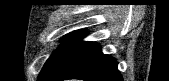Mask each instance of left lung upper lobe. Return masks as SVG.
<instances>
[{
    "label": "left lung upper lobe",
    "mask_w": 169,
    "mask_h": 81,
    "mask_svg": "<svg viewBox=\"0 0 169 81\" xmlns=\"http://www.w3.org/2000/svg\"><path fill=\"white\" fill-rule=\"evenodd\" d=\"M80 31H74L69 33L68 35H66L62 42L63 44L59 47V49H57L52 55L51 57L46 61V63L44 64L40 75L48 72L53 65L58 61V59L60 58V56L62 55L63 51L65 50V48L67 47V45L70 43V41L79 33ZM39 75V76H40Z\"/></svg>",
    "instance_id": "left-lung-upper-lobe-1"
}]
</instances>
